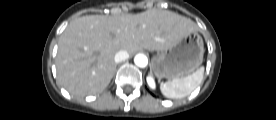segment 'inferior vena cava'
<instances>
[{"mask_svg": "<svg viewBox=\"0 0 276 120\" xmlns=\"http://www.w3.org/2000/svg\"><path fill=\"white\" fill-rule=\"evenodd\" d=\"M129 58V53L126 50H120L115 54L114 61L119 63Z\"/></svg>", "mask_w": 276, "mask_h": 120, "instance_id": "602c4592", "label": "inferior vena cava"}]
</instances>
